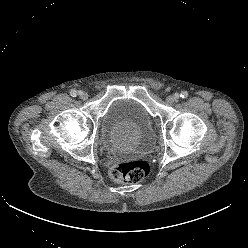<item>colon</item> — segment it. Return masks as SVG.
<instances>
[{"instance_id":"colon-1","label":"colon","mask_w":248,"mask_h":248,"mask_svg":"<svg viewBox=\"0 0 248 248\" xmlns=\"http://www.w3.org/2000/svg\"><path fill=\"white\" fill-rule=\"evenodd\" d=\"M149 171V164L145 160L117 162L110 168V176L118 183H136L142 181Z\"/></svg>"}]
</instances>
